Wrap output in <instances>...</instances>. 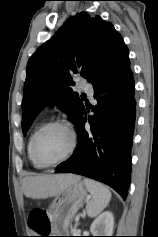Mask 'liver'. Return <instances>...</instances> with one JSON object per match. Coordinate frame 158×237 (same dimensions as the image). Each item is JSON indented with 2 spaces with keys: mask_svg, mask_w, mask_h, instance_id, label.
<instances>
[{
  "mask_svg": "<svg viewBox=\"0 0 158 237\" xmlns=\"http://www.w3.org/2000/svg\"><path fill=\"white\" fill-rule=\"evenodd\" d=\"M78 180L80 177L74 174L28 176L23 179L22 189L27 197L46 199L59 195Z\"/></svg>",
  "mask_w": 158,
  "mask_h": 237,
  "instance_id": "1",
  "label": "liver"
}]
</instances>
